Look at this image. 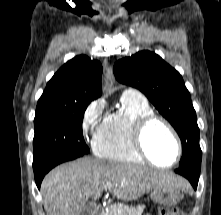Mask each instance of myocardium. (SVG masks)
<instances>
[{
    "label": "myocardium",
    "instance_id": "myocardium-1",
    "mask_svg": "<svg viewBox=\"0 0 221 215\" xmlns=\"http://www.w3.org/2000/svg\"><path fill=\"white\" fill-rule=\"evenodd\" d=\"M154 122L161 123L170 132L176 144V157L174 161L168 165H161V164L156 163L149 156L144 145V136H145L146 130ZM131 142H132V146L134 150L138 153V155L143 160L147 161L151 165L156 166L158 168H162V169L172 168L180 161L181 156H182V144H181V140L176 130L174 129V127L171 125V123L168 120H166L164 117L157 115L155 113L146 114L138 118L134 122L132 129H131Z\"/></svg>",
    "mask_w": 221,
    "mask_h": 215
}]
</instances>
